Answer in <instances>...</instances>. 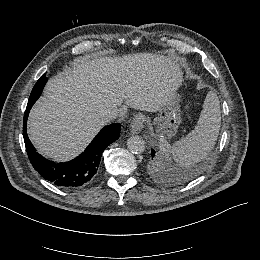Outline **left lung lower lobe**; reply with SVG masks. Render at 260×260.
<instances>
[{
  "label": "left lung lower lobe",
  "instance_id": "left-lung-lower-lobe-1",
  "mask_svg": "<svg viewBox=\"0 0 260 260\" xmlns=\"http://www.w3.org/2000/svg\"><path fill=\"white\" fill-rule=\"evenodd\" d=\"M152 153H153V154H155V151H154V150H152Z\"/></svg>",
  "mask_w": 260,
  "mask_h": 260
}]
</instances>
